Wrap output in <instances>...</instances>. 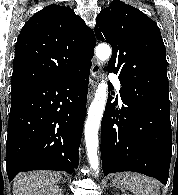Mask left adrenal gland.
Wrapping results in <instances>:
<instances>
[{
	"instance_id": "left-adrenal-gland-1",
	"label": "left adrenal gland",
	"mask_w": 178,
	"mask_h": 195,
	"mask_svg": "<svg viewBox=\"0 0 178 195\" xmlns=\"http://www.w3.org/2000/svg\"><path fill=\"white\" fill-rule=\"evenodd\" d=\"M113 185H114V181H112V182L110 183V187L113 186Z\"/></svg>"
}]
</instances>
